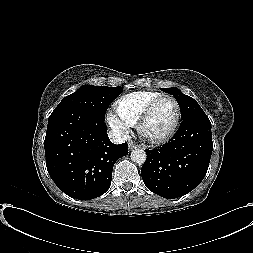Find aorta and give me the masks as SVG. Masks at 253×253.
Instances as JSON below:
<instances>
[{
  "label": "aorta",
  "mask_w": 253,
  "mask_h": 253,
  "mask_svg": "<svg viewBox=\"0 0 253 253\" xmlns=\"http://www.w3.org/2000/svg\"><path fill=\"white\" fill-rule=\"evenodd\" d=\"M130 158L134 163L143 164L147 159V155L144 150L135 149L131 152Z\"/></svg>",
  "instance_id": "obj_1"
}]
</instances>
